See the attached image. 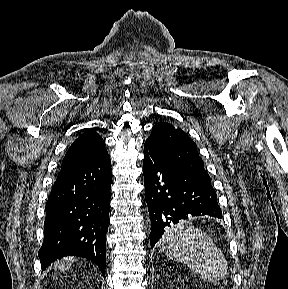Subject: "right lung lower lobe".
I'll use <instances>...</instances> for the list:
<instances>
[{
  "label": "right lung lower lobe",
  "mask_w": 288,
  "mask_h": 289,
  "mask_svg": "<svg viewBox=\"0 0 288 289\" xmlns=\"http://www.w3.org/2000/svg\"><path fill=\"white\" fill-rule=\"evenodd\" d=\"M110 188L107 152L61 167L46 203L44 242L38 253L43 269L72 255L90 259L104 274Z\"/></svg>",
  "instance_id": "obj_1"
}]
</instances>
